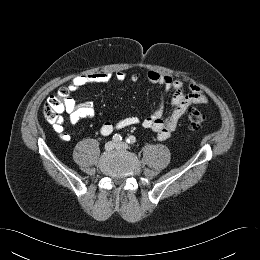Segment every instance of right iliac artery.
I'll list each match as a JSON object with an SVG mask.
<instances>
[{"mask_svg":"<svg viewBox=\"0 0 260 260\" xmlns=\"http://www.w3.org/2000/svg\"><path fill=\"white\" fill-rule=\"evenodd\" d=\"M113 140H114V142L119 143L122 140V136L120 134H115L113 136Z\"/></svg>","mask_w":260,"mask_h":260,"instance_id":"82829eb1","label":"right iliac artery"}]
</instances>
